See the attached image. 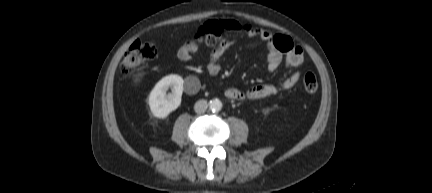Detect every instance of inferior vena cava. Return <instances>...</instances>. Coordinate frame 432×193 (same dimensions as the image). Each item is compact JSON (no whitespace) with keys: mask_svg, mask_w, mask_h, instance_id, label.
I'll return each instance as SVG.
<instances>
[{"mask_svg":"<svg viewBox=\"0 0 432 193\" xmlns=\"http://www.w3.org/2000/svg\"><path fill=\"white\" fill-rule=\"evenodd\" d=\"M208 103L206 100H198L194 105V110L198 114H202L206 111Z\"/></svg>","mask_w":432,"mask_h":193,"instance_id":"1","label":"inferior vena cava"}]
</instances>
